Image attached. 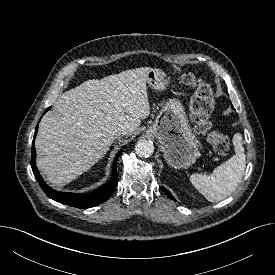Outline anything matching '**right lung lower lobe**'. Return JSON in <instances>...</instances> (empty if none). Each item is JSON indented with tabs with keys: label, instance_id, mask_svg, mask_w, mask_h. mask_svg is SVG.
Segmentation results:
<instances>
[{
	"label": "right lung lower lobe",
	"instance_id": "obj_1",
	"mask_svg": "<svg viewBox=\"0 0 275 275\" xmlns=\"http://www.w3.org/2000/svg\"><path fill=\"white\" fill-rule=\"evenodd\" d=\"M48 110L49 108L46 110V112ZM37 129H38V126L36 127L33 142H32L31 167H32L34 176L36 177L40 187L49 198L57 202H60L62 204H66V205L81 208V209H87L103 203L113 194L118 183V173H117L116 163L121 152L117 154L114 160L113 168H112L113 169L112 177L108 183L102 185L101 187H99L98 189L94 190L89 194L59 192V191L53 190L44 182L43 178L41 177L36 167V164H35L36 151L34 147V140L37 134Z\"/></svg>",
	"mask_w": 275,
	"mask_h": 275
}]
</instances>
